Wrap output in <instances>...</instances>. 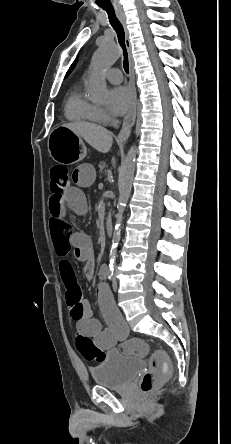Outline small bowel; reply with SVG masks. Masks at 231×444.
Here are the masks:
<instances>
[{"mask_svg":"<svg viewBox=\"0 0 231 444\" xmlns=\"http://www.w3.org/2000/svg\"><path fill=\"white\" fill-rule=\"evenodd\" d=\"M95 178V169L91 164H80L70 175L74 186L60 198L50 197L49 232L54 249L61 258L59 271L66 289L69 314L76 323L77 331L91 338L101 350H109L125 339L128 326L117 310L109 288L100 284L97 297L107 320V327H102L100 321L94 318L89 302L82 297L73 267L67 259V255L71 253L76 261L85 264V272L92 275L94 253L91 240L87 234L73 230L65 220V214L67 208L80 215L86 213L87 201L81 188L90 186ZM104 274L105 269H102L100 278H104Z\"/></svg>","mask_w":231,"mask_h":444,"instance_id":"obj_1","label":"small bowel"}]
</instances>
